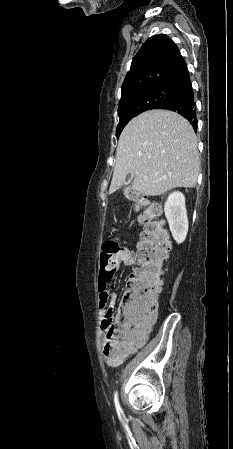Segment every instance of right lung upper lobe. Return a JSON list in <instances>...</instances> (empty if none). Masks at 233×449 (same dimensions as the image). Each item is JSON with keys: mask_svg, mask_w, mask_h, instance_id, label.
<instances>
[{"mask_svg": "<svg viewBox=\"0 0 233 449\" xmlns=\"http://www.w3.org/2000/svg\"><path fill=\"white\" fill-rule=\"evenodd\" d=\"M189 82V71L176 44L167 35H155L133 58L122 84L121 97L153 86L181 88Z\"/></svg>", "mask_w": 233, "mask_h": 449, "instance_id": "obj_1", "label": "right lung upper lobe"}]
</instances>
